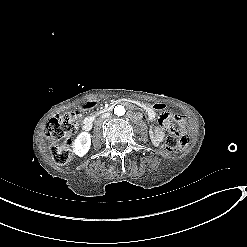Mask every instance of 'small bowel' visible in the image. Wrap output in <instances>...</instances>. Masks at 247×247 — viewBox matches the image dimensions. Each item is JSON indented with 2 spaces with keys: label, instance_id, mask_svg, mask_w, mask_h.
<instances>
[{
  "label": "small bowel",
  "instance_id": "small-bowel-1",
  "mask_svg": "<svg viewBox=\"0 0 247 247\" xmlns=\"http://www.w3.org/2000/svg\"><path fill=\"white\" fill-rule=\"evenodd\" d=\"M147 118L151 121H154L157 117V112H160L153 108L152 104H145L142 106ZM175 121L182 125L183 119L175 116ZM163 125H157L151 130V141L154 145H159L162 143L164 139V131H163Z\"/></svg>",
  "mask_w": 247,
  "mask_h": 247
}]
</instances>
